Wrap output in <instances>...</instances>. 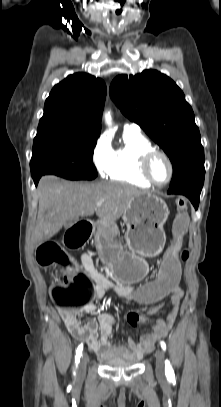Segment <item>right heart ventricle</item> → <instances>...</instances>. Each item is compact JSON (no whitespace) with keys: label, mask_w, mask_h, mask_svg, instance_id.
I'll return each mask as SVG.
<instances>
[{"label":"right heart ventricle","mask_w":221,"mask_h":407,"mask_svg":"<svg viewBox=\"0 0 221 407\" xmlns=\"http://www.w3.org/2000/svg\"><path fill=\"white\" fill-rule=\"evenodd\" d=\"M152 143L140 132L124 131L122 144L113 151L109 178L138 187H150L151 184L140 172V160Z\"/></svg>","instance_id":"e07e8e85"}]
</instances>
